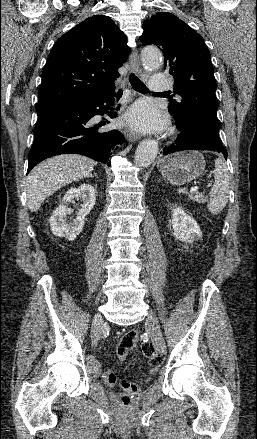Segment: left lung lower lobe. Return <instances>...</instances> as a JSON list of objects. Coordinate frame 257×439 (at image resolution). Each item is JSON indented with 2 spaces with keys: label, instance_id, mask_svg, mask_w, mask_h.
<instances>
[{
  "label": "left lung lower lobe",
  "instance_id": "obj_1",
  "mask_svg": "<svg viewBox=\"0 0 257 439\" xmlns=\"http://www.w3.org/2000/svg\"><path fill=\"white\" fill-rule=\"evenodd\" d=\"M174 119L180 134L174 145L161 151L162 155L180 150H209L227 158V150L219 137V126L199 115Z\"/></svg>",
  "mask_w": 257,
  "mask_h": 439
}]
</instances>
